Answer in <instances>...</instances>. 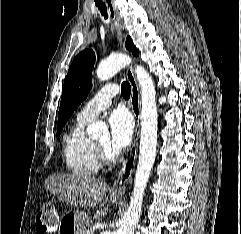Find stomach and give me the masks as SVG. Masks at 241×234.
I'll list each match as a JSON object with an SVG mask.
<instances>
[{
	"label": "stomach",
	"mask_w": 241,
	"mask_h": 234,
	"mask_svg": "<svg viewBox=\"0 0 241 234\" xmlns=\"http://www.w3.org/2000/svg\"><path fill=\"white\" fill-rule=\"evenodd\" d=\"M113 204L120 202L121 198L117 196H110ZM60 228L68 234H86L87 223L84 216L79 212H71L63 217Z\"/></svg>",
	"instance_id": "1"
}]
</instances>
